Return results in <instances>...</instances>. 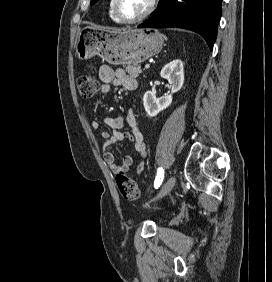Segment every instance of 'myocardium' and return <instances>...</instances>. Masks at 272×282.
Returning <instances> with one entry per match:
<instances>
[{
	"instance_id": "1",
	"label": "myocardium",
	"mask_w": 272,
	"mask_h": 282,
	"mask_svg": "<svg viewBox=\"0 0 272 282\" xmlns=\"http://www.w3.org/2000/svg\"><path fill=\"white\" fill-rule=\"evenodd\" d=\"M158 0H151L148 9L141 15L133 18L124 16L119 9V0H112V9L115 16L124 23H137L149 17L156 9Z\"/></svg>"
}]
</instances>
